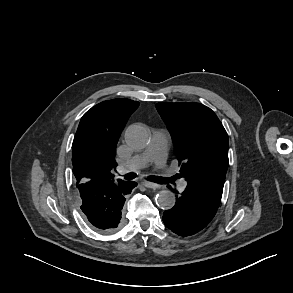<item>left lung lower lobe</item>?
<instances>
[{"label":"left lung lower lobe","mask_w":293,"mask_h":293,"mask_svg":"<svg viewBox=\"0 0 293 293\" xmlns=\"http://www.w3.org/2000/svg\"><path fill=\"white\" fill-rule=\"evenodd\" d=\"M173 208L163 214L164 224L179 236L193 235L205 228L215 216L218 204L201 196L191 187L178 191Z\"/></svg>","instance_id":"1"}]
</instances>
